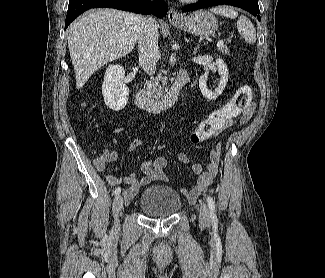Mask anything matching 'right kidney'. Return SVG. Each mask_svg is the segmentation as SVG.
Listing matches in <instances>:
<instances>
[{
    "mask_svg": "<svg viewBox=\"0 0 325 278\" xmlns=\"http://www.w3.org/2000/svg\"><path fill=\"white\" fill-rule=\"evenodd\" d=\"M125 71L120 65H109L102 84L105 105L114 110H122L128 102L129 89L124 84Z\"/></svg>",
    "mask_w": 325,
    "mask_h": 278,
    "instance_id": "ca27d5eb",
    "label": "right kidney"
}]
</instances>
